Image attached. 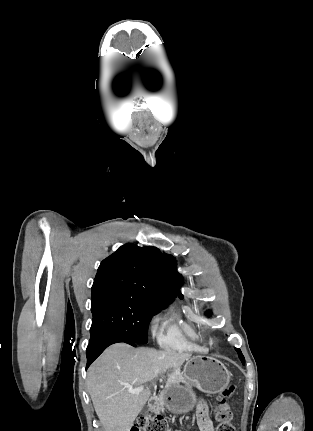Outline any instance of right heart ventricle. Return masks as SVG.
<instances>
[{"instance_id": "e07e8e85", "label": "right heart ventricle", "mask_w": 313, "mask_h": 431, "mask_svg": "<svg viewBox=\"0 0 313 431\" xmlns=\"http://www.w3.org/2000/svg\"><path fill=\"white\" fill-rule=\"evenodd\" d=\"M174 319V315L169 317L165 322L164 329L158 335L159 341L164 347L192 351H204L207 349L204 345L187 340L182 330L174 322Z\"/></svg>"}]
</instances>
